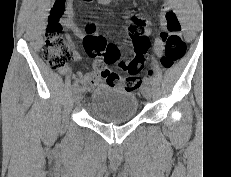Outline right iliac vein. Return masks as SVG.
Instances as JSON below:
<instances>
[{"label": "right iliac vein", "instance_id": "right-iliac-vein-1", "mask_svg": "<svg viewBox=\"0 0 231 177\" xmlns=\"http://www.w3.org/2000/svg\"><path fill=\"white\" fill-rule=\"evenodd\" d=\"M82 93H83V89L81 87H76L74 89L73 97L75 103H78L81 100Z\"/></svg>", "mask_w": 231, "mask_h": 177}]
</instances>
